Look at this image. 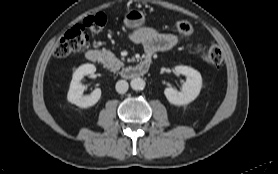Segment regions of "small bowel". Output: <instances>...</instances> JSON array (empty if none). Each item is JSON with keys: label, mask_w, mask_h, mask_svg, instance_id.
<instances>
[{"label": "small bowel", "mask_w": 278, "mask_h": 174, "mask_svg": "<svg viewBox=\"0 0 278 174\" xmlns=\"http://www.w3.org/2000/svg\"><path fill=\"white\" fill-rule=\"evenodd\" d=\"M130 39L143 46L147 55L173 49L179 44V39L171 33H162L153 28L143 27L133 31Z\"/></svg>", "instance_id": "1"}]
</instances>
